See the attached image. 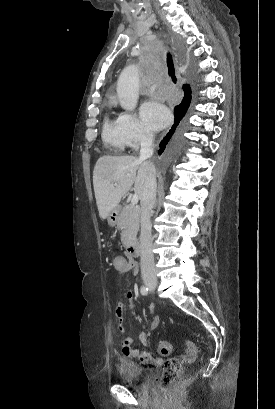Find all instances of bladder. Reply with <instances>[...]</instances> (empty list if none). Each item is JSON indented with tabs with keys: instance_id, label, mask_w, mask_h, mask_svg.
<instances>
[{
	"instance_id": "obj_1",
	"label": "bladder",
	"mask_w": 275,
	"mask_h": 409,
	"mask_svg": "<svg viewBox=\"0 0 275 409\" xmlns=\"http://www.w3.org/2000/svg\"><path fill=\"white\" fill-rule=\"evenodd\" d=\"M117 379L136 389H142L145 383L155 380L152 368H146L132 361H119L116 365Z\"/></svg>"
}]
</instances>
